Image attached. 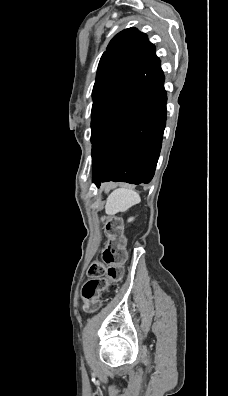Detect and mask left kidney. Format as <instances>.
Listing matches in <instances>:
<instances>
[{"instance_id": "5707ae66", "label": "left kidney", "mask_w": 228, "mask_h": 396, "mask_svg": "<svg viewBox=\"0 0 228 396\" xmlns=\"http://www.w3.org/2000/svg\"><path fill=\"white\" fill-rule=\"evenodd\" d=\"M132 220H133V218H130V219H129V221H132Z\"/></svg>"}]
</instances>
